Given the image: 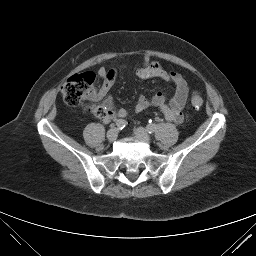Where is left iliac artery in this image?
I'll return each instance as SVG.
<instances>
[{"instance_id":"left-iliac-artery-1","label":"left iliac artery","mask_w":256,"mask_h":256,"mask_svg":"<svg viewBox=\"0 0 256 256\" xmlns=\"http://www.w3.org/2000/svg\"><path fill=\"white\" fill-rule=\"evenodd\" d=\"M146 128H147L148 133L152 134L156 130V124L151 122L150 124L147 125Z\"/></svg>"}]
</instances>
